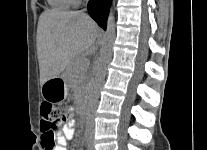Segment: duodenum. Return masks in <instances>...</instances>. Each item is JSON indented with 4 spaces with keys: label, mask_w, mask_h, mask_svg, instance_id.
I'll return each mask as SVG.
<instances>
[{
    "label": "duodenum",
    "mask_w": 207,
    "mask_h": 150,
    "mask_svg": "<svg viewBox=\"0 0 207 150\" xmlns=\"http://www.w3.org/2000/svg\"><path fill=\"white\" fill-rule=\"evenodd\" d=\"M92 87L89 86L85 89L84 93H83V97H82V101H83V104L84 106L87 108L90 104V101H91V97H92Z\"/></svg>",
    "instance_id": "1"
}]
</instances>
